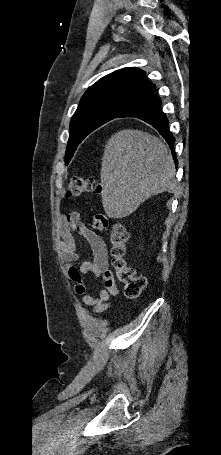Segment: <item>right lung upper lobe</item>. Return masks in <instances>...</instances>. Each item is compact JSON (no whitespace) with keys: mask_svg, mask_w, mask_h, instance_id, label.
I'll return each instance as SVG.
<instances>
[{"mask_svg":"<svg viewBox=\"0 0 221 455\" xmlns=\"http://www.w3.org/2000/svg\"><path fill=\"white\" fill-rule=\"evenodd\" d=\"M155 91L145 73L137 68L117 70L98 80L82 96L79 106L104 103L126 110Z\"/></svg>","mask_w":221,"mask_h":455,"instance_id":"right-lung-upper-lobe-1","label":"right lung upper lobe"}]
</instances>
